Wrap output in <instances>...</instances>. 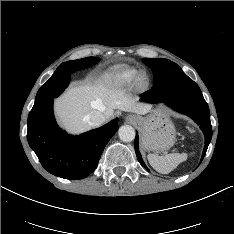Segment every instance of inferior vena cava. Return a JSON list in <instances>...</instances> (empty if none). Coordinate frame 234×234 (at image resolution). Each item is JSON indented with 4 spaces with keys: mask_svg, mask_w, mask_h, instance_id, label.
Masks as SVG:
<instances>
[{
    "mask_svg": "<svg viewBox=\"0 0 234 234\" xmlns=\"http://www.w3.org/2000/svg\"><path fill=\"white\" fill-rule=\"evenodd\" d=\"M85 120L88 122V124L90 126L98 127V126L102 125L105 122L106 117L102 112L94 111V112L88 114L85 117Z\"/></svg>",
    "mask_w": 234,
    "mask_h": 234,
    "instance_id": "inferior-vena-cava-1",
    "label": "inferior vena cava"
}]
</instances>
